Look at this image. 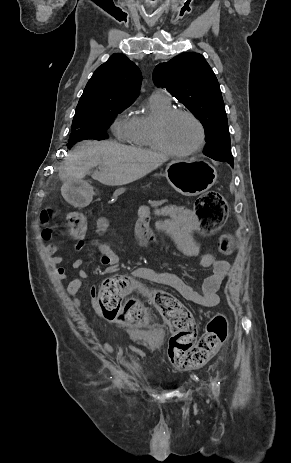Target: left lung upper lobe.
Segmentation results:
<instances>
[{"label":"left lung upper lobe","mask_w":291,"mask_h":463,"mask_svg":"<svg viewBox=\"0 0 291 463\" xmlns=\"http://www.w3.org/2000/svg\"><path fill=\"white\" fill-rule=\"evenodd\" d=\"M156 86L166 89L203 124L207 145L204 154L214 160L233 159L228 120L218 80L205 58L185 52L160 63L153 72Z\"/></svg>","instance_id":"1"}]
</instances>
